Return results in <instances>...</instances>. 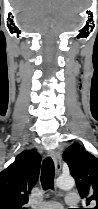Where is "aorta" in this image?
Segmentation results:
<instances>
[{
	"label": "aorta",
	"mask_w": 98,
	"mask_h": 209,
	"mask_svg": "<svg viewBox=\"0 0 98 209\" xmlns=\"http://www.w3.org/2000/svg\"><path fill=\"white\" fill-rule=\"evenodd\" d=\"M58 188L63 190L72 189L75 185V180L71 176H60L56 180Z\"/></svg>",
	"instance_id": "obj_1"
}]
</instances>
